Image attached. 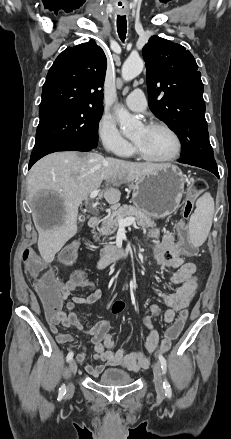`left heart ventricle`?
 <instances>
[{
  "label": "left heart ventricle",
  "mask_w": 231,
  "mask_h": 439,
  "mask_svg": "<svg viewBox=\"0 0 231 439\" xmlns=\"http://www.w3.org/2000/svg\"><path fill=\"white\" fill-rule=\"evenodd\" d=\"M146 155L164 158L172 154L175 148L170 134L163 129H146L141 127L132 138Z\"/></svg>",
  "instance_id": "b2bd125f"
}]
</instances>
